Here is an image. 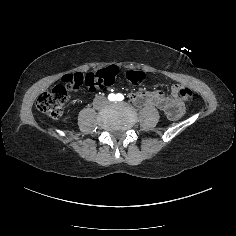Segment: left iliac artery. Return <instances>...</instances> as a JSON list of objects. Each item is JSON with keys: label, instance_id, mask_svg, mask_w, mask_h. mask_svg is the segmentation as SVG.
<instances>
[{"label": "left iliac artery", "instance_id": "left-iliac-artery-1", "mask_svg": "<svg viewBox=\"0 0 236 236\" xmlns=\"http://www.w3.org/2000/svg\"><path fill=\"white\" fill-rule=\"evenodd\" d=\"M124 99V96L121 94V93H118L117 95H116V100L117 101H122Z\"/></svg>", "mask_w": 236, "mask_h": 236}]
</instances>
